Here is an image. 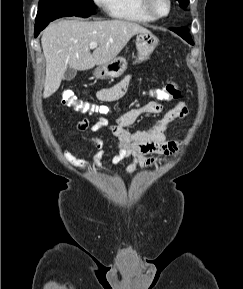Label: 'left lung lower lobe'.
I'll return each instance as SVG.
<instances>
[{
    "mask_svg": "<svg viewBox=\"0 0 243 289\" xmlns=\"http://www.w3.org/2000/svg\"><path fill=\"white\" fill-rule=\"evenodd\" d=\"M170 30L174 31L175 33H177L179 36H181L184 40H186L188 43L190 44H194L190 34L188 33V29L186 27H182V28H170Z\"/></svg>",
    "mask_w": 243,
    "mask_h": 289,
    "instance_id": "0a47b994",
    "label": "left lung lower lobe"
}]
</instances>
